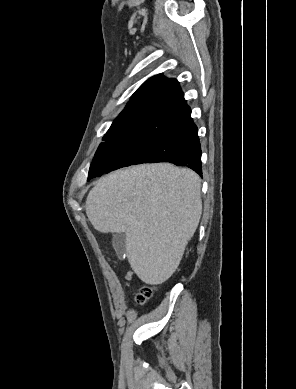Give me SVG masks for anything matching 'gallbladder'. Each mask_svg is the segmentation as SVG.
I'll use <instances>...</instances> for the list:
<instances>
[{
	"label": "gallbladder",
	"mask_w": 296,
	"mask_h": 389,
	"mask_svg": "<svg viewBox=\"0 0 296 389\" xmlns=\"http://www.w3.org/2000/svg\"><path fill=\"white\" fill-rule=\"evenodd\" d=\"M112 245L119 258H123L126 253V235L123 232L116 233L112 238Z\"/></svg>",
	"instance_id": "obj_1"
}]
</instances>
